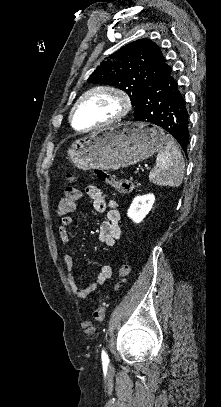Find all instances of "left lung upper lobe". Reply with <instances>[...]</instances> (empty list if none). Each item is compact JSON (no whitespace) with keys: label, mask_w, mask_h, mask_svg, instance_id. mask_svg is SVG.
<instances>
[{"label":"left lung upper lobe","mask_w":221,"mask_h":407,"mask_svg":"<svg viewBox=\"0 0 221 407\" xmlns=\"http://www.w3.org/2000/svg\"><path fill=\"white\" fill-rule=\"evenodd\" d=\"M168 68L160 47L144 38L112 53L90 75L88 81L119 87L129 95L135 110L142 89Z\"/></svg>","instance_id":"5c2ea615"}]
</instances>
